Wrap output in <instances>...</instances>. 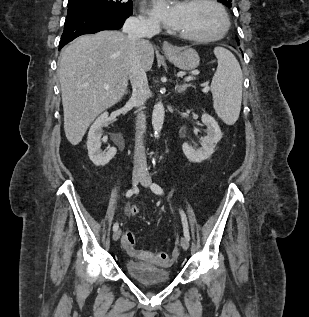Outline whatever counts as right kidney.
<instances>
[{
  "label": "right kidney",
  "mask_w": 309,
  "mask_h": 317,
  "mask_svg": "<svg viewBox=\"0 0 309 317\" xmlns=\"http://www.w3.org/2000/svg\"><path fill=\"white\" fill-rule=\"evenodd\" d=\"M108 113L101 114L90 127L87 140V149L89 159L96 166L106 165L117 153L116 148H109L106 152H103L101 147L102 128L108 124Z\"/></svg>",
  "instance_id": "ca27d5eb"
}]
</instances>
